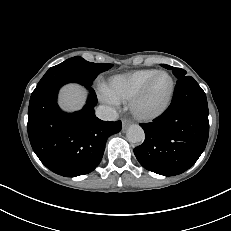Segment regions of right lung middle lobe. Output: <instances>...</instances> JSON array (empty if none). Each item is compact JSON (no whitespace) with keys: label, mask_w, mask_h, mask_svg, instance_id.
I'll use <instances>...</instances> for the list:
<instances>
[{"label":"right lung middle lobe","mask_w":231,"mask_h":231,"mask_svg":"<svg viewBox=\"0 0 231 231\" xmlns=\"http://www.w3.org/2000/svg\"><path fill=\"white\" fill-rule=\"evenodd\" d=\"M113 64L92 63L81 57L70 58L54 67H51L37 84L35 90H39L50 83L60 79H71L85 85H91L94 79Z\"/></svg>","instance_id":"obj_1"}]
</instances>
